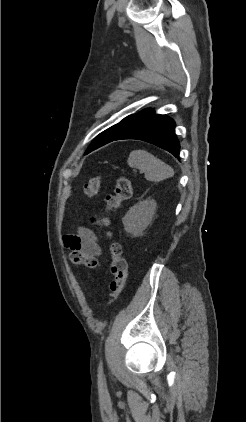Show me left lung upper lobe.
<instances>
[{
    "mask_svg": "<svg viewBox=\"0 0 246 422\" xmlns=\"http://www.w3.org/2000/svg\"><path fill=\"white\" fill-rule=\"evenodd\" d=\"M150 109H144L136 114L130 115L124 118L121 122L115 124L114 126L108 128L107 130L100 133L90 144L85 154L90 153L91 151L101 147L103 144L116 139L128 128H130L135 122L142 118Z\"/></svg>",
    "mask_w": 246,
    "mask_h": 422,
    "instance_id": "1",
    "label": "left lung upper lobe"
}]
</instances>
